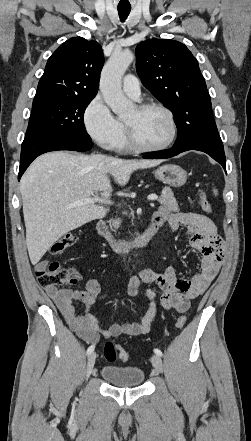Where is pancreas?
I'll return each instance as SVG.
<instances>
[{
	"label": "pancreas",
	"instance_id": "pancreas-1",
	"mask_svg": "<svg viewBox=\"0 0 251 441\" xmlns=\"http://www.w3.org/2000/svg\"><path fill=\"white\" fill-rule=\"evenodd\" d=\"M159 203L162 204L168 211L179 212L178 203L174 197L172 190L169 187L163 188V194L158 199ZM121 220L115 219L112 222L114 228H118Z\"/></svg>",
	"mask_w": 251,
	"mask_h": 441
}]
</instances>
